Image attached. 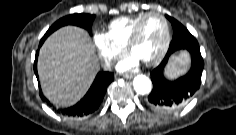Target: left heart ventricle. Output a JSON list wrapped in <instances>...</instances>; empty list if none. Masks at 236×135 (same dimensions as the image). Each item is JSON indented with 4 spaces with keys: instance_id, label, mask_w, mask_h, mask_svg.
Here are the masks:
<instances>
[{
    "instance_id": "left-heart-ventricle-1",
    "label": "left heart ventricle",
    "mask_w": 236,
    "mask_h": 135,
    "mask_svg": "<svg viewBox=\"0 0 236 135\" xmlns=\"http://www.w3.org/2000/svg\"><path fill=\"white\" fill-rule=\"evenodd\" d=\"M164 37L163 21L157 16L148 17L142 25L139 40L131 54L141 62L155 57L163 45Z\"/></svg>"
}]
</instances>
